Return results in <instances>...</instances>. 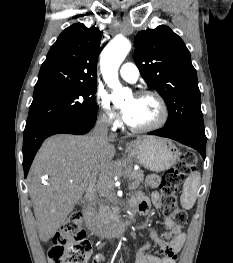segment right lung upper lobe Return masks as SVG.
<instances>
[{
    "label": "right lung upper lobe",
    "mask_w": 233,
    "mask_h": 263,
    "mask_svg": "<svg viewBox=\"0 0 233 263\" xmlns=\"http://www.w3.org/2000/svg\"><path fill=\"white\" fill-rule=\"evenodd\" d=\"M101 32L77 23L66 28L41 66L34 95L78 85L97 84Z\"/></svg>",
    "instance_id": "right-lung-upper-lobe-1"
}]
</instances>
